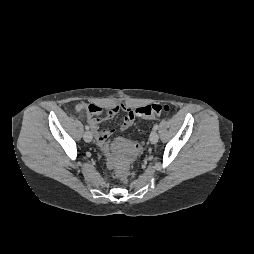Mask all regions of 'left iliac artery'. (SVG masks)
<instances>
[{"mask_svg": "<svg viewBox=\"0 0 254 254\" xmlns=\"http://www.w3.org/2000/svg\"><path fill=\"white\" fill-rule=\"evenodd\" d=\"M158 127H159L158 124H155L154 127H153V130L156 131L158 129Z\"/></svg>", "mask_w": 254, "mask_h": 254, "instance_id": "left-iliac-artery-1", "label": "left iliac artery"}]
</instances>
